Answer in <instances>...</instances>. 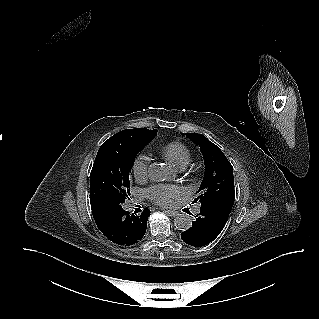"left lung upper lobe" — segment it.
<instances>
[{"instance_id": "obj_1", "label": "left lung upper lobe", "mask_w": 319, "mask_h": 319, "mask_svg": "<svg viewBox=\"0 0 319 319\" xmlns=\"http://www.w3.org/2000/svg\"><path fill=\"white\" fill-rule=\"evenodd\" d=\"M182 135H186L200 147L206 167L195 201L199 200L201 205L234 201L233 167L221 149L202 134L182 133Z\"/></svg>"}]
</instances>
